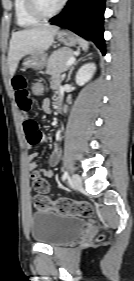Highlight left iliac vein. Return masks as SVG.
I'll list each match as a JSON object with an SVG mask.
<instances>
[{
	"mask_svg": "<svg viewBox=\"0 0 134 281\" xmlns=\"http://www.w3.org/2000/svg\"><path fill=\"white\" fill-rule=\"evenodd\" d=\"M71 184L74 189H79L82 186V180L79 175L73 174L71 176Z\"/></svg>",
	"mask_w": 134,
	"mask_h": 281,
	"instance_id": "obj_1",
	"label": "left iliac vein"
}]
</instances>
